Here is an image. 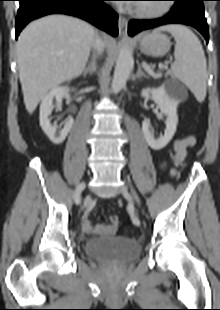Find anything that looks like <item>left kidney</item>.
I'll list each match as a JSON object with an SVG mask.
<instances>
[{"label": "left kidney", "instance_id": "1", "mask_svg": "<svg viewBox=\"0 0 220 310\" xmlns=\"http://www.w3.org/2000/svg\"><path fill=\"white\" fill-rule=\"evenodd\" d=\"M142 96L145 98L150 97L160 108L161 113L167 117L164 135L160 136L158 139H155L151 134L149 129L150 123L147 120L142 123V132L146 142L152 149L160 150L170 142L176 132L178 123L177 107L179 101L174 94L169 93L163 87L156 89H143Z\"/></svg>", "mask_w": 220, "mask_h": 310}]
</instances>
